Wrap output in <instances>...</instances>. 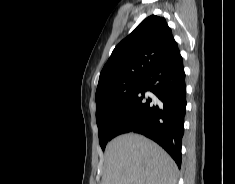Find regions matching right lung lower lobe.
I'll list each match as a JSON object with an SVG mask.
<instances>
[{
  "instance_id": "98d812e1",
  "label": "right lung lower lobe",
  "mask_w": 235,
  "mask_h": 184,
  "mask_svg": "<svg viewBox=\"0 0 235 184\" xmlns=\"http://www.w3.org/2000/svg\"><path fill=\"white\" fill-rule=\"evenodd\" d=\"M185 90L183 59L178 50L143 78L141 88L115 127L116 136L128 132L143 134L163 147L180 168Z\"/></svg>"
}]
</instances>
